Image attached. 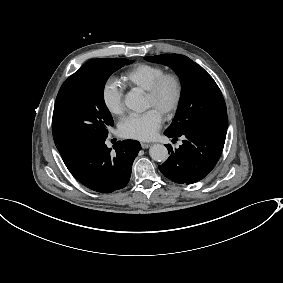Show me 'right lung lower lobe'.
<instances>
[{
    "instance_id": "right-lung-lower-lobe-1",
    "label": "right lung lower lobe",
    "mask_w": 283,
    "mask_h": 283,
    "mask_svg": "<svg viewBox=\"0 0 283 283\" xmlns=\"http://www.w3.org/2000/svg\"><path fill=\"white\" fill-rule=\"evenodd\" d=\"M107 138V137H106ZM101 138L63 159L70 173L86 187L110 193L127 185L135 157L141 149L135 140L117 142L115 152Z\"/></svg>"
}]
</instances>
